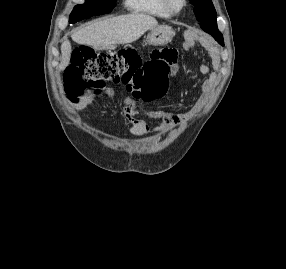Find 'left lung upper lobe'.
Masks as SVG:
<instances>
[{
	"instance_id": "1",
	"label": "left lung upper lobe",
	"mask_w": 286,
	"mask_h": 269,
	"mask_svg": "<svg viewBox=\"0 0 286 269\" xmlns=\"http://www.w3.org/2000/svg\"><path fill=\"white\" fill-rule=\"evenodd\" d=\"M194 5V13L201 28L212 35L221 45L223 36L217 28V14L211 0H190Z\"/></svg>"
}]
</instances>
